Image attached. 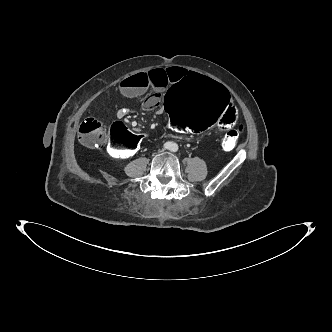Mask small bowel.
Returning <instances> with one entry per match:
<instances>
[{"mask_svg":"<svg viewBox=\"0 0 332 332\" xmlns=\"http://www.w3.org/2000/svg\"><path fill=\"white\" fill-rule=\"evenodd\" d=\"M188 74L189 71L181 67L156 68L139 72L123 79L119 85V92L123 97L134 98L152 91V95L142 104L144 110L152 111L158 108L162 94ZM125 115V109L117 112V117L120 119ZM170 127L177 130L172 124Z\"/></svg>","mask_w":332,"mask_h":332,"instance_id":"1","label":"small bowel"}]
</instances>
